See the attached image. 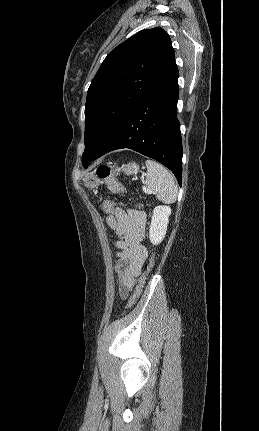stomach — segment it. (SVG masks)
Here are the masks:
<instances>
[{"label": "stomach", "mask_w": 259, "mask_h": 431, "mask_svg": "<svg viewBox=\"0 0 259 431\" xmlns=\"http://www.w3.org/2000/svg\"><path fill=\"white\" fill-rule=\"evenodd\" d=\"M118 170L124 172L126 175H133L137 174L139 171V165H137L135 162H129L128 164L123 165L121 168H118ZM83 183L88 189H94L98 187L101 181L96 173L91 172L85 175L83 178Z\"/></svg>", "instance_id": "0dacf381"}]
</instances>
